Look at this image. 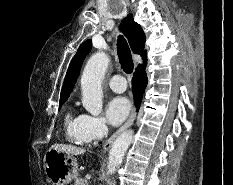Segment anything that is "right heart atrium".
Listing matches in <instances>:
<instances>
[{"mask_svg":"<svg viewBox=\"0 0 233 185\" xmlns=\"http://www.w3.org/2000/svg\"><path fill=\"white\" fill-rule=\"evenodd\" d=\"M107 131L108 128L103 118L83 115L82 133L87 143L100 140L107 134Z\"/></svg>","mask_w":233,"mask_h":185,"instance_id":"obj_1","label":"right heart atrium"}]
</instances>
